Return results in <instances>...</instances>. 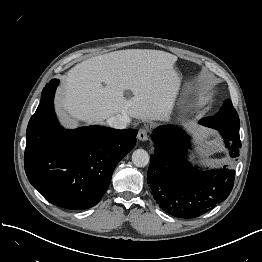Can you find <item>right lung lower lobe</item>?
<instances>
[{
  "label": "right lung lower lobe",
  "instance_id": "98d812e1",
  "mask_svg": "<svg viewBox=\"0 0 262 262\" xmlns=\"http://www.w3.org/2000/svg\"><path fill=\"white\" fill-rule=\"evenodd\" d=\"M58 80L43 88L26 132L24 166L30 183L52 204L71 210L95 206L119 161L136 143V129L62 128L53 99Z\"/></svg>",
  "mask_w": 262,
  "mask_h": 262
}]
</instances>
